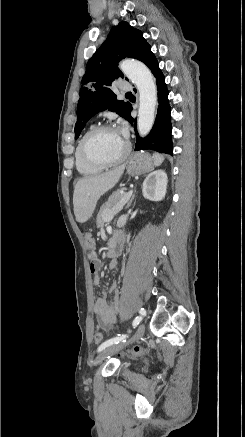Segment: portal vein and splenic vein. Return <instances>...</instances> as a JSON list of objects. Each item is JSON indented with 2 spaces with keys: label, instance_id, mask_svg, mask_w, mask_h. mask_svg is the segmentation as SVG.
I'll use <instances>...</instances> for the list:
<instances>
[{
  "label": "portal vein and splenic vein",
  "instance_id": "18ae733b",
  "mask_svg": "<svg viewBox=\"0 0 245 437\" xmlns=\"http://www.w3.org/2000/svg\"><path fill=\"white\" fill-rule=\"evenodd\" d=\"M133 190H129L127 193H125L124 198L120 201L119 204L115 205L112 210L106 215V219L110 220L113 218L115 214L120 212L123 209V206L127 203V201L132 196Z\"/></svg>",
  "mask_w": 245,
  "mask_h": 437
}]
</instances>
